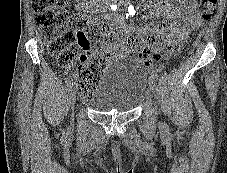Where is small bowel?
<instances>
[{
  "label": "small bowel",
  "mask_w": 227,
  "mask_h": 173,
  "mask_svg": "<svg viewBox=\"0 0 227 173\" xmlns=\"http://www.w3.org/2000/svg\"><path fill=\"white\" fill-rule=\"evenodd\" d=\"M179 6H175L168 0L155 4L149 16L165 17L168 22L161 28L152 26L134 27L127 25L122 21L121 16H113L112 19L116 25L117 32L108 43H104L102 48L106 53L115 57H125L133 53L131 48V40L133 38H142L144 36H152L161 33L166 41V45L162 48L166 55L173 54L182 43L184 37L193 31L199 19L196 13L197 0H175ZM135 11L133 5L127 8V14Z\"/></svg>",
  "instance_id": "small-bowel-1"
}]
</instances>
